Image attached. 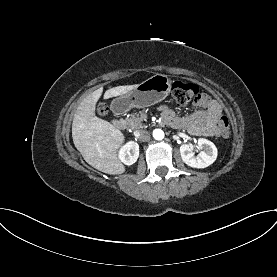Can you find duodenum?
Here are the masks:
<instances>
[{"mask_svg": "<svg viewBox=\"0 0 277 277\" xmlns=\"http://www.w3.org/2000/svg\"><path fill=\"white\" fill-rule=\"evenodd\" d=\"M115 112L117 114H121L122 113V109L121 108H116ZM113 126L117 129H122L125 125V122L122 119H116L112 122Z\"/></svg>", "mask_w": 277, "mask_h": 277, "instance_id": "obj_1", "label": "duodenum"}]
</instances>
